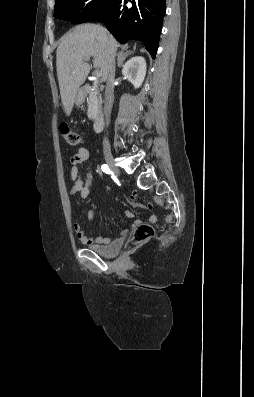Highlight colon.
Listing matches in <instances>:
<instances>
[{
  "mask_svg": "<svg viewBox=\"0 0 254 397\" xmlns=\"http://www.w3.org/2000/svg\"><path fill=\"white\" fill-rule=\"evenodd\" d=\"M60 132L67 143L72 146H78L81 142V138L77 132L72 130L67 124L62 123L60 125ZM136 197V195H134ZM154 228L149 224L139 225L132 236V242L134 244H142L150 240L154 236Z\"/></svg>",
  "mask_w": 254,
  "mask_h": 397,
  "instance_id": "5ec220e1",
  "label": "colon"
}]
</instances>
